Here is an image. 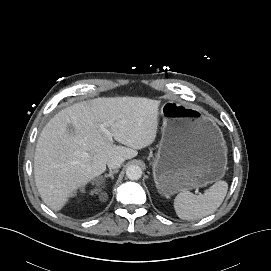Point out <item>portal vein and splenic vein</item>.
Returning <instances> with one entry per match:
<instances>
[{"label":"portal vein and splenic vein","instance_id":"obj_1","mask_svg":"<svg viewBox=\"0 0 271 271\" xmlns=\"http://www.w3.org/2000/svg\"><path fill=\"white\" fill-rule=\"evenodd\" d=\"M100 129L106 135V137L108 138V140L110 142H113L112 133L106 128V126L102 124V125H100ZM87 155H88L87 153H83V156H87Z\"/></svg>","mask_w":271,"mask_h":271}]
</instances>
